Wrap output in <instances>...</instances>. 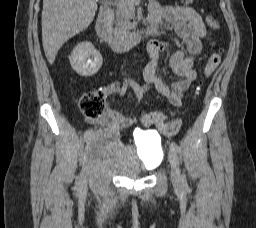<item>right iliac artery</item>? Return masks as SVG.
Returning <instances> with one entry per match:
<instances>
[{"label": "right iliac artery", "mask_w": 256, "mask_h": 228, "mask_svg": "<svg viewBox=\"0 0 256 228\" xmlns=\"http://www.w3.org/2000/svg\"><path fill=\"white\" fill-rule=\"evenodd\" d=\"M91 137V131H87L85 134H84V137H83V140L86 141L88 138Z\"/></svg>", "instance_id": "82829eb1"}]
</instances>
